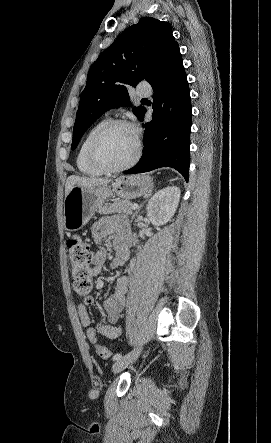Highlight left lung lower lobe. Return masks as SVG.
I'll return each instance as SVG.
<instances>
[{
	"label": "left lung lower lobe",
	"mask_w": 271,
	"mask_h": 443,
	"mask_svg": "<svg viewBox=\"0 0 271 443\" xmlns=\"http://www.w3.org/2000/svg\"><path fill=\"white\" fill-rule=\"evenodd\" d=\"M152 85V121L145 127L140 161L125 174L172 167L186 181L189 176L192 107L190 90L179 47L173 48L147 79ZM146 109L139 117L143 121Z\"/></svg>",
	"instance_id": "1"
}]
</instances>
